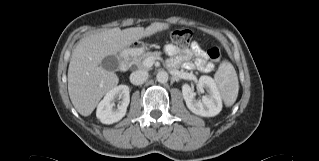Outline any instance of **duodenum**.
<instances>
[{
  "mask_svg": "<svg viewBox=\"0 0 319 161\" xmlns=\"http://www.w3.org/2000/svg\"><path fill=\"white\" fill-rule=\"evenodd\" d=\"M129 58H130L129 52H124L120 56V61L119 62H120V68L121 69L126 68L128 66Z\"/></svg>",
  "mask_w": 319,
  "mask_h": 161,
  "instance_id": "410a0bca",
  "label": "duodenum"
}]
</instances>
